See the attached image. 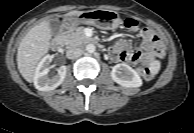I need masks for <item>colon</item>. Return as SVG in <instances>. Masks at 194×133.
<instances>
[{
  "instance_id": "1",
  "label": "colon",
  "mask_w": 194,
  "mask_h": 133,
  "mask_svg": "<svg viewBox=\"0 0 194 133\" xmlns=\"http://www.w3.org/2000/svg\"><path fill=\"white\" fill-rule=\"evenodd\" d=\"M125 27L131 31H136L139 27V23L136 19L127 18L124 22ZM141 74L145 80H150L153 76L151 68L149 66H143L141 68Z\"/></svg>"
}]
</instances>
